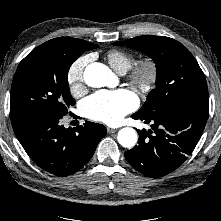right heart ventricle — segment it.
Returning <instances> with one entry per match:
<instances>
[{"instance_id": "e07e8e85", "label": "right heart ventricle", "mask_w": 221, "mask_h": 221, "mask_svg": "<svg viewBox=\"0 0 221 221\" xmlns=\"http://www.w3.org/2000/svg\"><path fill=\"white\" fill-rule=\"evenodd\" d=\"M106 57L110 66L119 73L127 72L135 60L131 53L121 49L108 51Z\"/></svg>"}]
</instances>
